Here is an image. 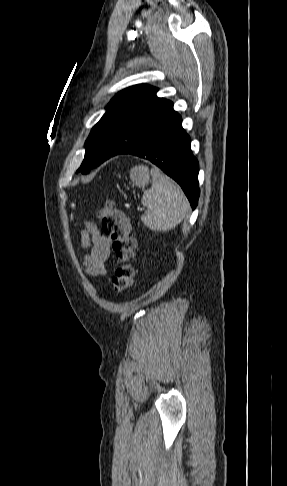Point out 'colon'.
Returning a JSON list of instances; mask_svg holds the SVG:
<instances>
[{
    "mask_svg": "<svg viewBox=\"0 0 287 486\" xmlns=\"http://www.w3.org/2000/svg\"><path fill=\"white\" fill-rule=\"evenodd\" d=\"M102 229L112 240L116 266L111 277L113 289L117 292L127 290L133 281L134 268L131 261L135 255L136 240L131 235L129 220L112 203L98 212Z\"/></svg>",
    "mask_w": 287,
    "mask_h": 486,
    "instance_id": "5ec220e1",
    "label": "colon"
}]
</instances>
